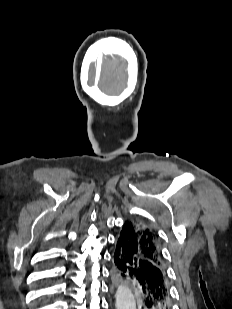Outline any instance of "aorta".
Instances as JSON below:
<instances>
[{
	"instance_id": "762f6f07",
	"label": "aorta",
	"mask_w": 232,
	"mask_h": 309,
	"mask_svg": "<svg viewBox=\"0 0 232 309\" xmlns=\"http://www.w3.org/2000/svg\"><path fill=\"white\" fill-rule=\"evenodd\" d=\"M116 309H136V302L131 290L125 286L117 289L116 294Z\"/></svg>"
}]
</instances>
